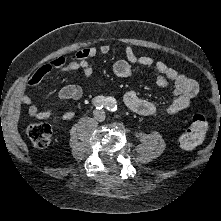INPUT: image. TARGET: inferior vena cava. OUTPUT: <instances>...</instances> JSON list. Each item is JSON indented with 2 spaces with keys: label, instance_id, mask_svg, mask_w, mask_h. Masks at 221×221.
Instances as JSON below:
<instances>
[{
  "label": "inferior vena cava",
  "instance_id": "obj_1",
  "mask_svg": "<svg viewBox=\"0 0 221 221\" xmlns=\"http://www.w3.org/2000/svg\"><path fill=\"white\" fill-rule=\"evenodd\" d=\"M102 117L101 118H99L97 115H96V119L97 120H100V121H102V120H104V118H105V115H104V112H102Z\"/></svg>",
  "mask_w": 221,
  "mask_h": 221
}]
</instances>
